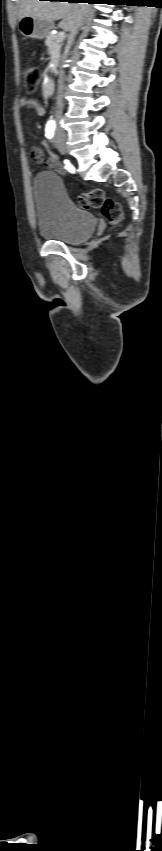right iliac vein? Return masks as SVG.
<instances>
[{
	"label": "right iliac vein",
	"instance_id": "obj_1",
	"mask_svg": "<svg viewBox=\"0 0 162 851\" xmlns=\"http://www.w3.org/2000/svg\"><path fill=\"white\" fill-rule=\"evenodd\" d=\"M61 146H62V148H63V150H64V151H66V148H65V146H64V145H63V144H62V145H61Z\"/></svg>",
	"mask_w": 162,
	"mask_h": 851
}]
</instances>
